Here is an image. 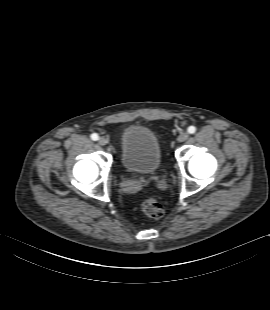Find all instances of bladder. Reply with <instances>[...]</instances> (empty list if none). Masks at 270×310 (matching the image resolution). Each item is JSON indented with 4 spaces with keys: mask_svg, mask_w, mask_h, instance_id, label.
Returning <instances> with one entry per match:
<instances>
[{
    "mask_svg": "<svg viewBox=\"0 0 270 310\" xmlns=\"http://www.w3.org/2000/svg\"><path fill=\"white\" fill-rule=\"evenodd\" d=\"M120 161L129 171L155 173L162 164L161 146L156 134L145 126L125 127L121 133Z\"/></svg>",
    "mask_w": 270,
    "mask_h": 310,
    "instance_id": "31cf9c89",
    "label": "bladder"
}]
</instances>
